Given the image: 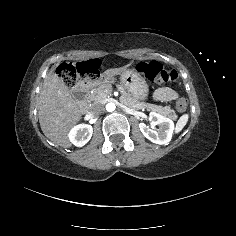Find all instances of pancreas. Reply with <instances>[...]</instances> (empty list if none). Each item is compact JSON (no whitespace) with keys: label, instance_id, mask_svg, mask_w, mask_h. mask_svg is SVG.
Segmentation results:
<instances>
[{"label":"pancreas","instance_id":"cf45deb5","mask_svg":"<svg viewBox=\"0 0 236 236\" xmlns=\"http://www.w3.org/2000/svg\"><path fill=\"white\" fill-rule=\"evenodd\" d=\"M117 90L121 92L120 102L133 109H143L147 111H155L162 116H167L171 120L177 119V114L174 109H171V105H167L164 108L149 103H144L143 101L136 100L133 98L125 89V87L119 83L115 84ZM113 91V85L110 83H105L99 86H93L87 93L86 101L89 104L104 103L106 99L111 95Z\"/></svg>","mask_w":236,"mask_h":236}]
</instances>
